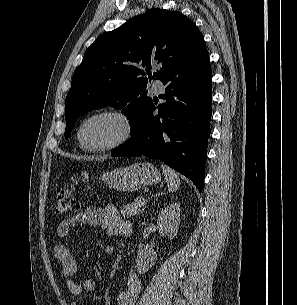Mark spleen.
Instances as JSON below:
<instances>
[{
	"instance_id": "obj_1",
	"label": "spleen",
	"mask_w": 297,
	"mask_h": 305,
	"mask_svg": "<svg viewBox=\"0 0 297 305\" xmlns=\"http://www.w3.org/2000/svg\"><path fill=\"white\" fill-rule=\"evenodd\" d=\"M161 167L167 182L168 190L170 192L176 191L180 186V179L178 174L173 169H171L166 165L162 164Z\"/></svg>"
}]
</instances>
